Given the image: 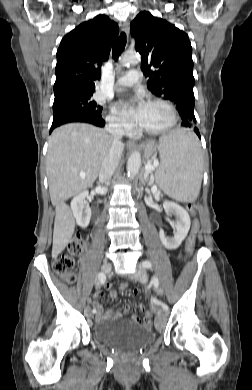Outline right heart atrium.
<instances>
[{"mask_svg":"<svg viewBox=\"0 0 252 390\" xmlns=\"http://www.w3.org/2000/svg\"><path fill=\"white\" fill-rule=\"evenodd\" d=\"M109 126L116 129L121 133H130L133 129V125L130 121L119 114L114 108H111L106 118Z\"/></svg>","mask_w":252,"mask_h":390,"instance_id":"d8ad5b80","label":"right heart atrium"}]
</instances>
